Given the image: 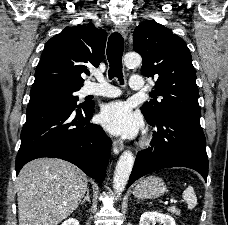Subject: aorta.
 <instances>
[{
  "mask_svg": "<svg viewBox=\"0 0 228 225\" xmlns=\"http://www.w3.org/2000/svg\"><path fill=\"white\" fill-rule=\"evenodd\" d=\"M123 60L126 66H139L142 62V58L138 52H127ZM133 165V153H131V151H124L121 157H119V161L114 171L113 189L117 195H121L122 191H124L129 181Z\"/></svg>",
  "mask_w": 228,
  "mask_h": 225,
  "instance_id": "obj_1",
  "label": "aorta"
}]
</instances>
